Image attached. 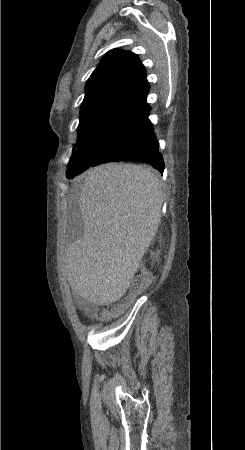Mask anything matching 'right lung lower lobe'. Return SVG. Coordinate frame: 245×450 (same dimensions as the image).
Wrapping results in <instances>:
<instances>
[{
  "label": "right lung lower lobe",
  "instance_id": "1",
  "mask_svg": "<svg viewBox=\"0 0 245 450\" xmlns=\"http://www.w3.org/2000/svg\"><path fill=\"white\" fill-rule=\"evenodd\" d=\"M149 111L150 109L141 114L134 132L128 140L112 152L101 154L91 165L95 166L111 161L140 160L152 165L163 173L165 165L163 157L158 151V142L151 122L148 119ZM80 173L74 174L69 179Z\"/></svg>",
  "mask_w": 245,
  "mask_h": 450
}]
</instances>
